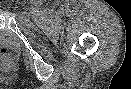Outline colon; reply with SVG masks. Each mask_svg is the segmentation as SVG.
Segmentation results:
<instances>
[{
    "label": "colon",
    "instance_id": "colon-1",
    "mask_svg": "<svg viewBox=\"0 0 131 89\" xmlns=\"http://www.w3.org/2000/svg\"><path fill=\"white\" fill-rule=\"evenodd\" d=\"M0 57L1 58H9L10 57V52L5 48H1L0 49Z\"/></svg>",
    "mask_w": 131,
    "mask_h": 89
}]
</instances>
